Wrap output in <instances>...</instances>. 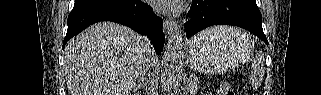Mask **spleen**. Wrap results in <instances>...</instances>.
<instances>
[{"label": "spleen", "instance_id": "obj_1", "mask_svg": "<svg viewBox=\"0 0 321 95\" xmlns=\"http://www.w3.org/2000/svg\"><path fill=\"white\" fill-rule=\"evenodd\" d=\"M233 31L234 29L230 27L217 26V27H212L202 33L218 36V35L230 33ZM264 72H265L264 53L262 51H258L251 64L252 75H251L250 83L253 88H258L261 85L264 77Z\"/></svg>", "mask_w": 321, "mask_h": 95}]
</instances>
